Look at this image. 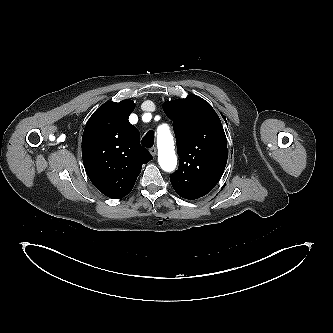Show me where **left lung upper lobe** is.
Here are the masks:
<instances>
[{"instance_id": "obj_1", "label": "left lung upper lobe", "mask_w": 333, "mask_h": 333, "mask_svg": "<svg viewBox=\"0 0 333 333\" xmlns=\"http://www.w3.org/2000/svg\"><path fill=\"white\" fill-rule=\"evenodd\" d=\"M163 109L173 120L180 157L178 170L170 176L171 184L185 199L200 198L218 183L227 163L222 123L212 106L196 95L166 101Z\"/></svg>"}]
</instances>
